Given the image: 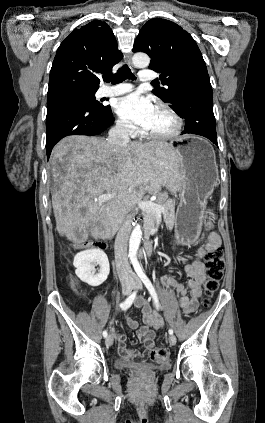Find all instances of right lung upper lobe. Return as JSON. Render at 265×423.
<instances>
[{
  "label": "right lung upper lobe",
  "instance_id": "cb5924a9",
  "mask_svg": "<svg viewBox=\"0 0 265 423\" xmlns=\"http://www.w3.org/2000/svg\"><path fill=\"white\" fill-rule=\"evenodd\" d=\"M122 57L105 22L95 20L73 30L57 50L47 96L76 89L97 90L99 76L111 74Z\"/></svg>",
  "mask_w": 265,
  "mask_h": 423
}]
</instances>
